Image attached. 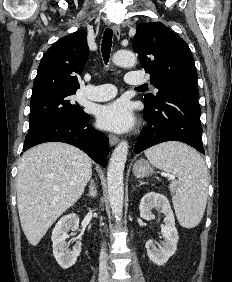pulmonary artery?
Returning <instances> with one entry per match:
<instances>
[{
    "instance_id": "1",
    "label": "pulmonary artery",
    "mask_w": 232,
    "mask_h": 282,
    "mask_svg": "<svg viewBox=\"0 0 232 282\" xmlns=\"http://www.w3.org/2000/svg\"><path fill=\"white\" fill-rule=\"evenodd\" d=\"M125 81L128 85L139 86L146 82L142 73L131 71L126 74ZM117 90L112 84L89 85L86 88V96L93 101H107L115 97Z\"/></svg>"
}]
</instances>
